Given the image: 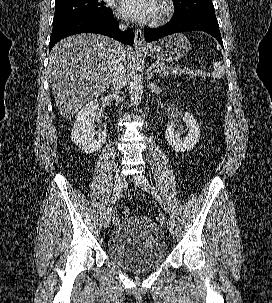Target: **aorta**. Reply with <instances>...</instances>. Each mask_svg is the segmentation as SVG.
<instances>
[{
	"label": "aorta",
	"instance_id": "762f6f07",
	"mask_svg": "<svg viewBox=\"0 0 272 303\" xmlns=\"http://www.w3.org/2000/svg\"><path fill=\"white\" fill-rule=\"evenodd\" d=\"M130 101L132 105L138 106L143 94V82L141 75L134 73L129 85Z\"/></svg>",
	"mask_w": 272,
	"mask_h": 303
}]
</instances>
